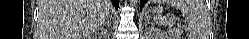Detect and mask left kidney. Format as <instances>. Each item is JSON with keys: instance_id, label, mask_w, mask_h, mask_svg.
I'll return each mask as SVG.
<instances>
[{"instance_id": "obj_1", "label": "left kidney", "mask_w": 249, "mask_h": 39, "mask_svg": "<svg viewBox=\"0 0 249 39\" xmlns=\"http://www.w3.org/2000/svg\"><path fill=\"white\" fill-rule=\"evenodd\" d=\"M154 36H155V39H169L170 38L165 32H162V31H156L154 33Z\"/></svg>"}]
</instances>
